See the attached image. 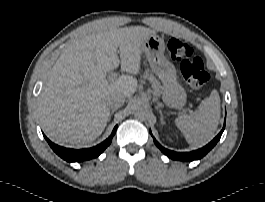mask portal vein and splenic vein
I'll use <instances>...</instances> for the list:
<instances>
[{
	"instance_id": "obj_1",
	"label": "portal vein and splenic vein",
	"mask_w": 265,
	"mask_h": 202,
	"mask_svg": "<svg viewBox=\"0 0 265 202\" xmlns=\"http://www.w3.org/2000/svg\"><path fill=\"white\" fill-rule=\"evenodd\" d=\"M116 77H117V73H112V74H110V75L108 76V80H109V81H113L114 79H116Z\"/></svg>"
}]
</instances>
